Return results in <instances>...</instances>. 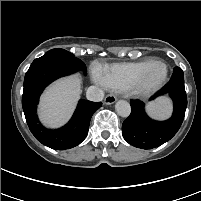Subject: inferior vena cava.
<instances>
[{"label":"inferior vena cava","instance_id":"obj_1","mask_svg":"<svg viewBox=\"0 0 201 201\" xmlns=\"http://www.w3.org/2000/svg\"><path fill=\"white\" fill-rule=\"evenodd\" d=\"M86 97L90 101L99 102L104 98V92L101 88L90 86L86 91Z\"/></svg>","mask_w":201,"mask_h":201}]
</instances>
